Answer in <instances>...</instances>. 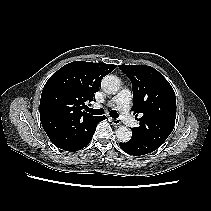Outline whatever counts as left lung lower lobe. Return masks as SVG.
Returning <instances> with one entry per match:
<instances>
[{
  "label": "left lung lower lobe",
  "instance_id": "1",
  "mask_svg": "<svg viewBox=\"0 0 211 211\" xmlns=\"http://www.w3.org/2000/svg\"><path fill=\"white\" fill-rule=\"evenodd\" d=\"M120 147L126 153L134 156L145 155L159 148V146L152 142L135 136H132L126 143H120Z\"/></svg>",
  "mask_w": 211,
  "mask_h": 211
}]
</instances>
